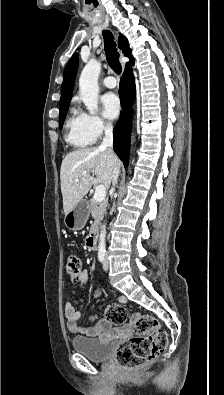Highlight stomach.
Masks as SVG:
<instances>
[{
	"label": "stomach",
	"instance_id": "stomach-1",
	"mask_svg": "<svg viewBox=\"0 0 224 395\" xmlns=\"http://www.w3.org/2000/svg\"><path fill=\"white\" fill-rule=\"evenodd\" d=\"M88 217V203L85 200H81L71 211L65 214L64 223L70 230H80L85 226Z\"/></svg>",
	"mask_w": 224,
	"mask_h": 395
}]
</instances>
